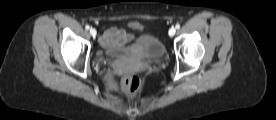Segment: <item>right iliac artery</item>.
<instances>
[{
	"instance_id": "right-iliac-artery-1",
	"label": "right iliac artery",
	"mask_w": 276,
	"mask_h": 120,
	"mask_svg": "<svg viewBox=\"0 0 276 120\" xmlns=\"http://www.w3.org/2000/svg\"><path fill=\"white\" fill-rule=\"evenodd\" d=\"M85 29H86V30H89V29H90V26H89V25H86V26H85Z\"/></svg>"
}]
</instances>
